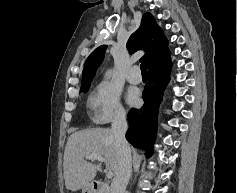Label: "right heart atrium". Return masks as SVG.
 <instances>
[{"label": "right heart atrium", "mask_w": 237, "mask_h": 193, "mask_svg": "<svg viewBox=\"0 0 237 193\" xmlns=\"http://www.w3.org/2000/svg\"><path fill=\"white\" fill-rule=\"evenodd\" d=\"M88 106L93 120L98 123L122 121L126 117L119 90L106 82L96 86L89 97Z\"/></svg>", "instance_id": "d8ad5b80"}]
</instances>
